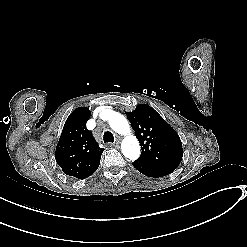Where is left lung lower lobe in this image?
Segmentation results:
<instances>
[{
    "mask_svg": "<svg viewBox=\"0 0 247 247\" xmlns=\"http://www.w3.org/2000/svg\"><path fill=\"white\" fill-rule=\"evenodd\" d=\"M132 165L142 174L148 177H163L171 173V171L149 165L146 163L133 162Z\"/></svg>",
    "mask_w": 247,
    "mask_h": 247,
    "instance_id": "obj_1",
    "label": "left lung lower lobe"
}]
</instances>
